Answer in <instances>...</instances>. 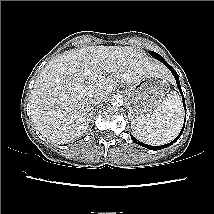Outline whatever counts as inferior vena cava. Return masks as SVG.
Returning a JSON list of instances; mask_svg holds the SVG:
<instances>
[{
  "mask_svg": "<svg viewBox=\"0 0 214 214\" xmlns=\"http://www.w3.org/2000/svg\"><path fill=\"white\" fill-rule=\"evenodd\" d=\"M107 98V93L103 90H95L89 92V101L91 104H99L105 101Z\"/></svg>",
  "mask_w": 214,
  "mask_h": 214,
  "instance_id": "1",
  "label": "inferior vena cava"
}]
</instances>
